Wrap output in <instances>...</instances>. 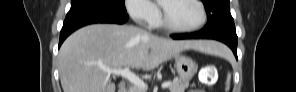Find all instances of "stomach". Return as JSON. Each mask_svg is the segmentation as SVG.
Here are the masks:
<instances>
[{"label": "stomach", "instance_id": "0dacf381", "mask_svg": "<svg viewBox=\"0 0 296 92\" xmlns=\"http://www.w3.org/2000/svg\"><path fill=\"white\" fill-rule=\"evenodd\" d=\"M177 73L182 81H190L197 71L198 65L188 56L176 55Z\"/></svg>", "mask_w": 296, "mask_h": 92}]
</instances>
